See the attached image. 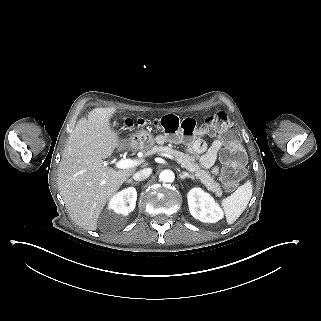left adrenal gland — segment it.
Instances as JSON below:
<instances>
[{
    "instance_id": "a2214340",
    "label": "left adrenal gland",
    "mask_w": 321,
    "mask_h": 321,
    "mask_svg": "<svg viewBox=\"0 0 321 321\" xmlns=\"http://www.w3.org/2000/svg\"><path fill=\"white\" fill-rule=\"evenodd\" d=\"M180 180H185L186 178H190L191 180L194 181V177L189 175L187 172H183L179 174Z\"/></svg>"
}]
</instances>
